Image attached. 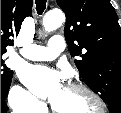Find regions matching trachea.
<instances>
[{
  "label": "trachea",
  "mask_w": 121,
  "mask_h": 113,
  "mask_svg": "<svg viewBox=\"0 0 121 113\" xmlns=\"http://www.w3.org/2000/svg\"><path fill=\"white\" fill-rule=\"evenodd\" d=\"M46 2H47V0H36L35 1L38 14L43 13V11L46 7Z\"/></svg>",
  "instance_id": "3493384b"
}]
</instances>
